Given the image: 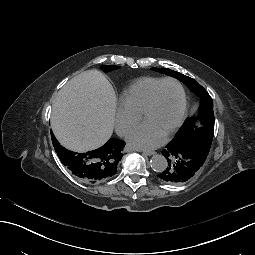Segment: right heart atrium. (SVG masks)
Wrapping results in <instances>:
<instances>
[{"instance_id":"right-heart-atrium-1","label":"right heart atrium","mask_w":255,"mask_h":255,"mask_svg":"<svg viewBox=\"0 0 255 255\" xmlns=\"http://www.w3.org/2000/svg\"><path fill=\"white\" fill-rule=\"evenodd\" d=\"M139 115L125 108L118 106L115 109V129L118 135L126 136L129 131L138 123Z\"/></svg>"}]
</instances>
